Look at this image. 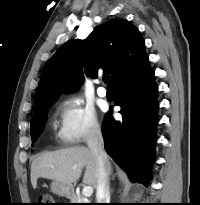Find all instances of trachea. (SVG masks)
Returning <instances> with one entry per match:
<instances>
[{
  "mask_svg": "<svg viewBox=\"0 0 200 205\" xmlns=\"http://www.w3.org/2000/svg\"><path fill=\"white\" fill-rule=\"evenodd\" d=\"M103 82L106 83V84H108V83L110 82V77H109V75H104V77H103ZM108 86H110V84H109Z\"/></svg>",
  "mask_w": 200,
  "mask_h": 205,
  "instance_id": "trachea-1",
  "label": "trachea"
}]
</instances>
